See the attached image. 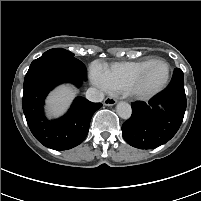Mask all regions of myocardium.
I'll return each mask as SVG.
<instances>
[{
	"mask_svg": "<svg viewBox=\"0 0 201 201\" xmlns=\"http://www.w3.org/2000/svg\"><path fill=\"white\" fill-rule=\"evenodd\" d=\"M156 63H163L166 66V76L164 80L155 88L153 89H143L142 83L144 80L145 75L147 74L148 70ZM171 76V67L169 63L163 59H154L150 63H148L131 81L128 85L127 89L125 90L128 95L131 97L138 99V100H148L152 97L159 94L162 90L166 88L169 83Z\"/></svg>",
	"mask_w": 201,
	"mask_h": 201,
	"instance_id": "myocardium-1",
	"label": "myocardium"
}]
</instances>
